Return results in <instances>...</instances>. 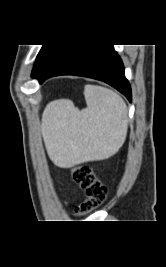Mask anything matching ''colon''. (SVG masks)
<instances>
[{
  "label": "colon",
  "mask_w": 166,
  "mask_h": 267,
  "mask_svg": "<svg viewBox=\"0 0 166 267\" xmlns=\"http://www.w3.org/2000/svg\"><path fill=\"white\" fill-rule=\"evenodd\" d=\"M73 181L85 193V200L75 208V215L85 216L100 207L106 200L107 189L89 166H77L72 169Z\"/></svg>",
  "instance_id": "colon-1"
}]
</instances>
